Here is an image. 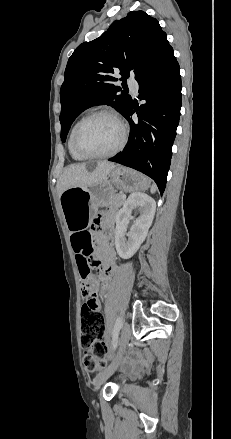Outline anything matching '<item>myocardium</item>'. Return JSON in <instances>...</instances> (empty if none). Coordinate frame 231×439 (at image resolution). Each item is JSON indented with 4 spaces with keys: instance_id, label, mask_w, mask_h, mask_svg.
<instances>
[{
    "instance_id": "myocardium-1",
    "label": "myocardium",
    "mask_w": 231,
    "mask_h": 439,
    "mask_svg": "<svg viewBox=\"0 0 231 439\" xmlns=\"http://www.w3.org/2000/svg\"><path fill=\"white\" fill-rule=\"evenodd\" d=\"M99 116L109 117V118L113 119L120 126L121 139H120L119 143L117 144V146L109 152L101 153V154L88 153L80 148L78 141H77V136H78L79 130L86 122H88L89 120H91L95 117H99ZM127 135H128L127 126L123 122V120L115 112H113L111 110H107V109H101V110H96V111L89 113L88 115L84 116L82 119H80L76 123V125L72 131L71 142H72L73 149L78 154H80L82 157H84L85 159H105V158L113 157L116 154H118L120 151H122V149L125 147L126 142H127Z\"/></svg>"
}]
</instances>
